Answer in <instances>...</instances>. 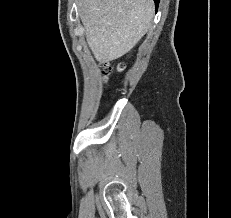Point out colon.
Masks as SVG:
<instances>
[{
  "instance_id": "colon-1",
  "label": "colon",
  "mask_w": 231,
  "mask_h": 218,
  "mask_svg": "<svg viewBox=\"0 0 231 218\" xmlns=\"http://www.w3.org/2000/svg\"><path fill=\"white\" fill-rule=\"evenodd\" d=\"M104 69L106 70V73H104V74H106V76H107V71L108 70H111L112 69V67L108 64V63H104ZM122 68H123V65L122 64H118L117 66H116V69L117 70H122Z\"/></svg>"
}]
</instances>
